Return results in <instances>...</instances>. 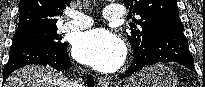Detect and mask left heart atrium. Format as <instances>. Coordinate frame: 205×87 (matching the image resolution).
<instances>
[{
  "instance_id": "39dd6f15",
  "label": "left heart atrium",
  "mask_w": 205,
  "mask_h": 87,
  "mask_svg": "<svg viewBox=\"0 0 205 87\" xmlns=\"http://www.w3.org/2000/svg\"><path fill=\"white\" fill-rule=\"evenodd\" d=\"M77 61L102 72H113L123 63L126 55L124 43L111 32L96 28L77 36L73 45Z\"/></svg>"
}]
</instances>
